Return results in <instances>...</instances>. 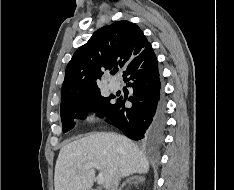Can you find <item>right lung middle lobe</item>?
<instances>
[{
    "instance_id": "right-lung-middle-lobe-1",
    "label": "right lung middle lobe",
    "mask_w": 234,
    "mask_h": 190,
    "mask_svg": "<svg viewBox=\"0 0 234 190\" xmlns=\"http://www.w3.org/2000/svg\"><path fill=\"white\" fill-rule=\"evenodd\" d=\"M113 95L106 98L101 96L100 90L85 93L75 99L61 104V120L63 132L74 128L75 119H84L89 109L98 111L102 116H109L116 103L111 100Z\"/></svg>"
}]
</instances>
